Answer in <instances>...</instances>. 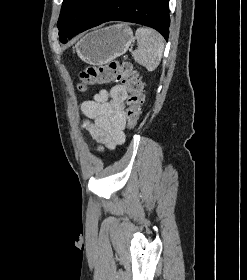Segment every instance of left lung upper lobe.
Returning a JSON list of instances; mask_svg holds the SVG:
<instances>
[{
  "mask_svg": "<svg viewBox=\"0 0 247 280\" xmlns=\"http://www.w3.org/2000/svg\"><path fill=\"white\" fill-rule=\"evenodd\" d=\"M102 0H63L57 23L60 41L65 34L78 29L91 10Z\"/></svg>",
  "mask_w": 247,
  "mask_h": 280,
  "instance_id": "obj_1",
  "label": "left lung upper lobe"
}]
</instances>
